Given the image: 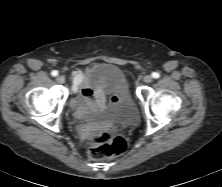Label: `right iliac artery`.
<instances>
[{
  "label": "right iliac artery",
  "instance_id": "1",
  "mask_svg": "<svg viewBox=\"0 0 222 187\" xmlns=\"http://www.w3.org/2000/svg\"><path fill=\"white\" fill-rule=\"evenodd\" d=\"M51 75H52V76H57V75H58V72H57L56 70H54V71L51 72Z\"/></svg>",
  "mask_w": 222,
  "mask_h": 187
}]
</instances>
